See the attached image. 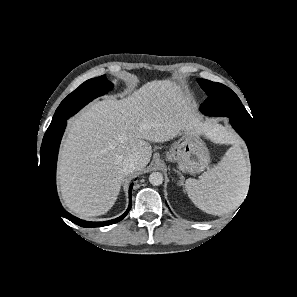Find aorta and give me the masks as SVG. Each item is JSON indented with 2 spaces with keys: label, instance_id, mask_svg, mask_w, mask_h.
Instances as JSON below:
<instances>
[{
  "label": "aorta",
  "instance_id": "1",
  "mask_svg": "<svg viewBox=\"0 0 297 297\" xmlns=\"http://www.w3.org/2000/svg\"><path fill=\"white\" fill-rule=\"evenodd\" d=\"M149 182L153 186H159L163 182V175L160 172H152L149 176Z\"/></svg>",
  "mask_w": 297,
  "mask_h": 297
}]
</instances>
